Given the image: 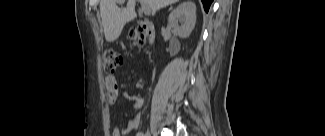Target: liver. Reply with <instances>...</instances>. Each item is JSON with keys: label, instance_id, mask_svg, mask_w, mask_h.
Listing matches in <instances>:
<instances>
[{"label": "liver", "instance_id": "obj_1", "mask_svg": "<svg viewBox=\"0 0 325 136\" xmlns=\"http://www.w3.org/2000/svg\"><path fill=\"white\" fill-rule=\"evenodd\" d=\"M178 0H142L147 5L152 15L161 8L171 5ZM120 0H101L100 14L104 28L105 38L108 42L115 41L121 34L124 25L136 18V0H127L125 8H119L117 3Z\"/></svg>", "mask_w": 325, "mask_h": 136}]
</instances>
